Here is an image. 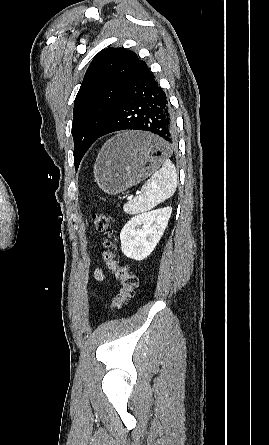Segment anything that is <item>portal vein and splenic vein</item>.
Returning <instances> with one entry per match:
<instances>
[{
  "mask_svg": "<svg viewBox=\"0 0 269 445\" xmlns=\"http://www.w3.org/2000/svg\"><path fill=\"white\" fill-rule=\"evenodd\" d=\"M127 199H128V200H131V199H132V196H129Z\"/></svg>",
  "mask_w": 269,
  "mask_h": 445,
  "instance_id": "portal-vein-and-splenic-vein-1",
  "label": "portal vein and splenic vein"
}]
</instances>
